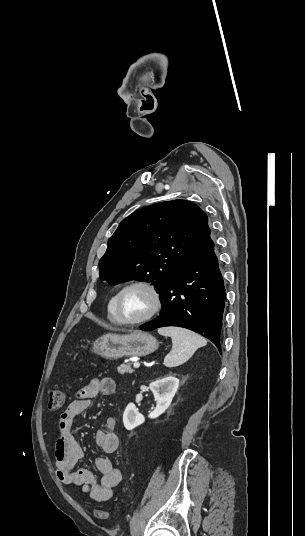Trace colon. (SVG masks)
<instances>
[{"instance_id": "1", "label": "colon", "mask_w": 305, "mask_h": 536, "mask_svg": "<svg viewBox=\"0 0 305 536\" xmlns=\"http://www.w3.org/2000/svg\"><path fill=\"white\" fill-rule=\"evenodd\" d=\"M48 410L51 412L59 411L65 404V394L61 390H50L48 392ZM94 516L98 519L104 520L110 516L108 511L95 510Z\"/></svg>"}]
</instances>
